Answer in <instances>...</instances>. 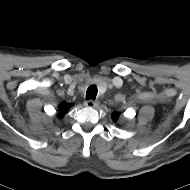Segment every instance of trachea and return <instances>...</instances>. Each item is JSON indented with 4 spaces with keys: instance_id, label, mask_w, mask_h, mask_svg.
<instances>
[{
    "instance_id": "obj_1",
    "label": "trachea",
    "mask_w": 190,
    "mask_h": 190,
    "mask_svg": "<svg viewBox=\"0 0 190 190\" xmlns=\"http://www.w3.org/2000/svg\"><path fill=\"white\" fill-rule=\"evenodd\" d=\"M97 87L95 85H91L88 87L87 92H86V99H95L97 96Z\"/></svg>"
}]
</instances>
